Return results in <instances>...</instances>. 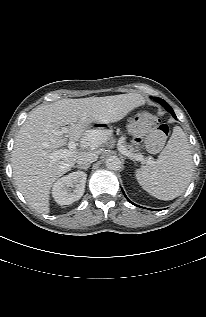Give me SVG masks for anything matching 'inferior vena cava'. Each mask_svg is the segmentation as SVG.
I'll return each mask as SVG.
<instances>
[{"instance_id": "obj_1", "label": "inferior vena cava", "mask_w": 206, "mask_h": 317, "mask_svg": "<svg viewBox=\"0 0 206 317\" xmlns=\"http://www.w3.org/2000/svg\"><path fill=\"white\" fill-rule=\"evenodd\" d=\"M98 158V155L93 152H85L77 159L76 163L78 166H88L91 163L95 162Z\"/></svg>"}]
</instances>
